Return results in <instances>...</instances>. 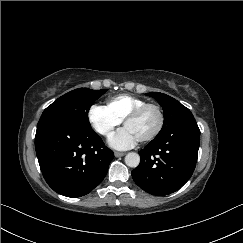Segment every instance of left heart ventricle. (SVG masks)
Returning <instances> with one entry per match:
<instances>
[{
  "label": "left heart ventricle",
  "instance_id": "left-heart-ventricle-1",
  "mask_svg": "<svg viewBox=\"0 0 243 243\" xmlns=\"http://www.w3.org/2000/svg\"><path fill=\"white\" fill-rule=\"evenodd\" d=\"M157 124L158 114L154 109L150 108L137 119L128 122L125 127H127L139 141L151 134L157 127Z\"/></svg>",
  "mask_w": 243,
  "mask_h": 243
}]
</instances>
